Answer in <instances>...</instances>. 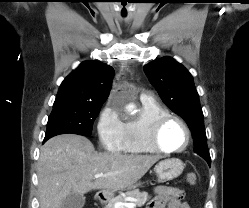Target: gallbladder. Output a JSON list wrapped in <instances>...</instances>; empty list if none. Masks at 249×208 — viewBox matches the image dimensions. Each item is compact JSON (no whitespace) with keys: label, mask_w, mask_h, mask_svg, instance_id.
I'll return each mask as SVG.
<instances>
[{"label":"gallbladder","mask_w":249,"mask_h":208,"mask_svg":"<svg viewBox=\"0 0 249 208\" xmlns=\"http://www.w3.org/2000/svg\"><path fill=\"white\" fill-rule=\"evenodd\" d=\"M85 196L71 192L62 202L61 208H83Z\"/></svg>","instance_id":"1"}]
</instances>
